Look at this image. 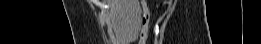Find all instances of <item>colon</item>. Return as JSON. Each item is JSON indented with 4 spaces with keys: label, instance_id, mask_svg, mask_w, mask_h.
<instances>
[{
    "label": "colon",
    "instance_id": "1",
    "mask_svg": "<svg viewBox=\"0 0 261 44\" xmlns=\"http://www.w3.org/2000/svg\"><path fill=\"white\" fill-rule=\"evenodd\" d=\"M142 2L144 3V1H142ZM143 13H144L145 19H147L148 18L147 9H146V6L144 4H143ZM143 24H144V22H143Z\"/></svg>",
    "mask_w": 261,
    "mask_h": 44
}]
</instances>
